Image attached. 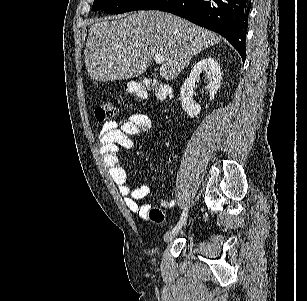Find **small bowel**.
<instances>
[{"mask_svg": "<svg viewBox=\"0 0 307 301\" xmlns=\"http://www.w3.org/2000/svg\"><path fill=\"white\" fill-rule=\"evenodd\" d=\"M151 127L150 118L143 113H133L124 119L106 122L99 134L98 145L110 175L118 186L128 208L143 219H147L150 206L139 203L150 193V187L141 185L132 188L127 181V172L119 161L120 149L134 146L135 137ZM164 207H173L175 200L167 198L162 202Z\"/></svg>", "mask_w": 307, "mask_h": 301, "instance_id": "c3829d8e", "label": "small bowel"}]
</instances>
